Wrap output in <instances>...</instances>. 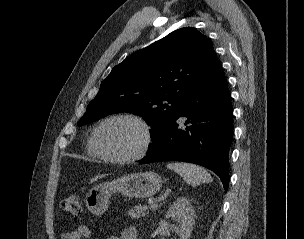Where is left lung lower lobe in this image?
<instances>
[{"instance_id": "left-lung-lower-lobe-1", "label": "left lung lower lobe", "mask_w": 304, "mask_h": 239, "mask_svg": "<svg viewBox=\"0 0 304 239\" xmlns=\"http://www.w3.org/2000/svg\"><path fill=\"white\" fill-rule=\"evenodd\" d=\"M180 117L185 128L178 121ZM232 134L230 93L216 60L139 163L172 160L199 164L215 172L227 192Z\"/></svg>"}]
</instances>
